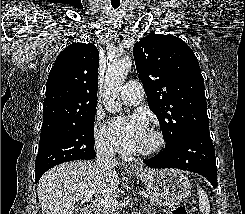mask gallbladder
Wrapping results in <instances>:
<instances>
[{
  "label": "gallbladder",
  "mask_w": 245,
  "mask_h": 214,
  "mask_svg": "<svg viewBox=\"0 0 245 214\" xmlns=\"http://www.w3.org/2000/svg\"><path fill=\"white\" fill-rule=\"evenodd\" d=\"M78 210L79 206H74L68 211V214H75Z\"/></svg>",
  "instance_id": "gallbladder-1"
}]
</instances>
